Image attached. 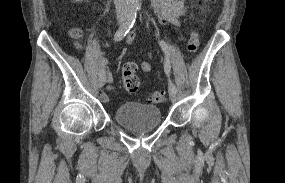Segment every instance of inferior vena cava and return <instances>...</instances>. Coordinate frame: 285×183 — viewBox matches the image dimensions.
Returning <instances> with one entry per match:
<instances>
[{
  "label": "inferior vena cava",
  "mask_w": 285,
  "mask_h": 183,
  "mask_svg": "<svg viewBox=\"0 0 285 183\" xmlns=\"http://www.w3.org/2000/svg\"><path fill=\"white\" fill-rule=\"evenodd\" d=\"M114 5L118 18H125L128 15L126 0H114Z\"/></svg>",
  "instance_id": "1"
}]
</instances>
